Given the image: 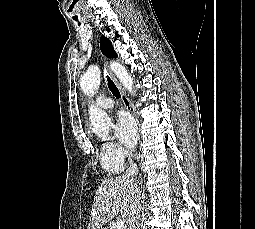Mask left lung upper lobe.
Returning a JSON list of instances; mask_svg holds the SVG:
<instances>
[{"label":"left lung upper lobe","mask_w":255,"mask_h":229,"mask_svg":"<svg viewBox=\"0 0 255 229\" xmlns=\"http://www.w3.org/2000/svg\"><path fill=\"white\" fill-rule=\"evenodd\" d=\"M100 49L102 53L107 57H117L116 52L113 50L112 44L109 39H107L104 35L100 38Z\"/></svg>","instance_id":"5c2ea615"}]
</instances>
